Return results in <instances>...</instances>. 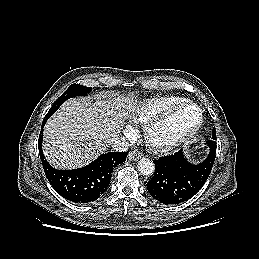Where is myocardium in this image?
Listing matches in <instances>:
<instances>
[{"mask_svg":"<svg viewBox=\"0 0 259 259\" xmlns=\"http://www.w3.org/2000/svg\"><path fill=\"white\" fill-rule=\"evenodd\" d=\"M186 108H194L198 112L196 123L185 132L169 138H160L159 131L180 111ZM204 120L203 110L195 103L185 102L171 108L160 116L148 122L144 128V139L147 146L158 153H168L187 143L201 128Z\"/></svg>","mask_w":259,"mask_h":259,"instance_id":"f54148a6","label":"myocardium"}]
</instances>
